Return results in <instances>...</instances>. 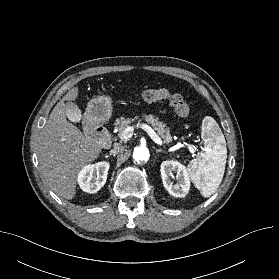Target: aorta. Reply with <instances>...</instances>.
<instances>
[{"instance_id": "762f6f07", "label": "aorta", "mask_w": 279, "mask_h": 279, "mask_svg": "<svg viewBox=\"0 0 279 279\" xmlns=\"http://www.w3.org/2000/svg\"><path fill=\"white\" fill-rule=\"evenodd\" d=\"M149 150L146 147H136L133 152V158L135 161H148L149 159Z\"/></svg>"}]
</instances>
